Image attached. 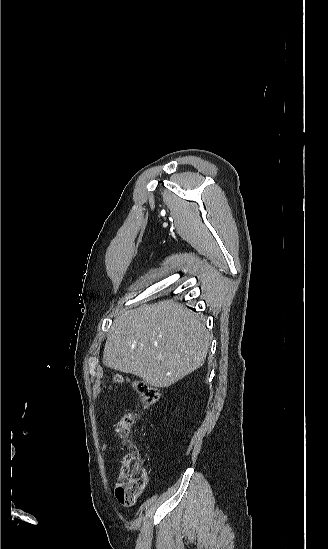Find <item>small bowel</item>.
Wrapping results in <instances>:
<instances>
[{"label": "small bowel", "mask_w": 328, "mask_h": 549, "mask_svg": "<svg viewBox=\"0 0 328 549\" xmlns=\"http://www.w3.org/2000/svg\"><path fill=\"white\" fill-rule=\"evenodd\" d=\"M112 448H113V442H112V441H108V442L104 445V452L110 453V452L112 451Z\"/></svg>", "instance_id": "1"}]
</instances>
